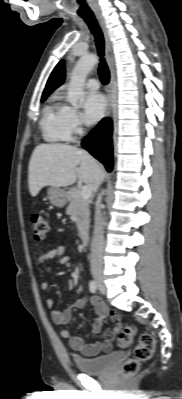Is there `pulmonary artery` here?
<instances>
[{"instance_id":"1","label":"pulmonary artery","mask_w":182,"mask_h":399,"mask_svg":"<svg viewBox=\"0 0 182 399\" xmlns=\"http://www.w3.org/2000/svg\"><path fill=\"white\" fill-rule=\"evenodd\" d=\"M86 87L93 91L97 90L99 88V82L94 78H90L86 81Z\"/></svg>"}]
</instances>
